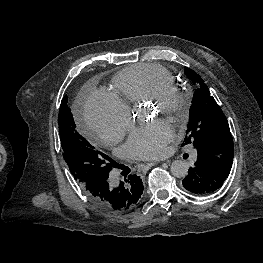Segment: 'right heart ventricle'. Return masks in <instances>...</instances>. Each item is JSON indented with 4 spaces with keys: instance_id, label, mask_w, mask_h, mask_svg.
Segmentation results:
<instances>
[{
    "instance_id": "right-heart-ventricle-1",
    "label": "right heart ventricle",
    "mask_w": 263,
    "mask_h": 263,
    "mask_svg": "<svg viewBox=\"0 0 263 263\" xmlns=\"http://www.w3.org/2000/svg\"><path fill=\"white\" fill-rule=\"evenodd\" d=\"M166 83L174 84V78L163 66L134 64L125 67L113 78V96L130 110Z\"/></svg>"
}]
</instances>
